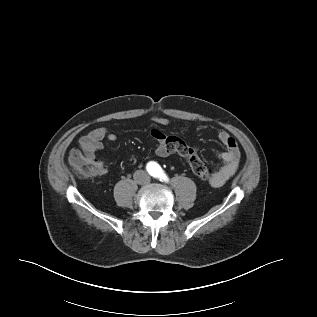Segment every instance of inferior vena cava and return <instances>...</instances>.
Masks as SVG:
<instances>
[{"instance_id": "inferior-vena-cava-1", "label": "inferior vena cava", "mask_w": 317, "mask_h": 317, "mask_svg": "<svg viewBox=\"0 0 317 317\" xmlns=\"http://www.w3.org/2000/svg\"><path fill=\"white\" fill-rule=\"evenodd\" d=\"M133 178L138 184H147L150 182V176L143 170H137L134 173Z\"/></svg>"}]
</instances>
